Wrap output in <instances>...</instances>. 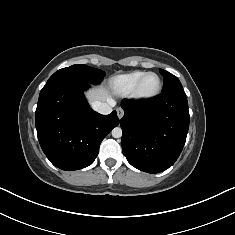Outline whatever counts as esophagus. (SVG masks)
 <instances>
[{
    "instance_id": "esophagus-1",
    "label": "esophagus",
    "mask_w": 235,
    "mask_h": 235,
    "mask_svg": "<svg viewBox=\"0 0 235 235\" xmlns=\"http://www.w3.org/2000/svg\"><path fill=\"white\" fill-rule=\"evenodd\" d=\"M118 118L121 119L124 116V110L122 108H117Z\"/></svg>"
}]
</instances>
